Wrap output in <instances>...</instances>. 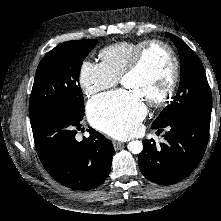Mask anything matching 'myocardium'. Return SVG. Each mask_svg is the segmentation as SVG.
<instances>
[{"mask_svg":"<svg viewBox=\"0 0 221 221\" xmlns=\"http://www.w3.org/2000/svg\"><path fill=\"white\" fill-rule=\"evenodd\" d=\"M154 46L162 47L167 52L169 59H170V63H171L169 80H168V84L165 90L157 98L146 101L147 104L151 107H159V106L166 104L173 96V93L176 89V85L178 82V76H179L178 58L173 48L167 42L160 40V39H150V40L144 41L139 46V48L135 51L130 63L125 68L121 76V81H123L126 77L130 76L131 74L135 73L140 68L145 54L150 48Z\"/></svg>","mask_w":221,"mask_h":221,"instance_id":"1","label":"myocardium"}]
</instances>
